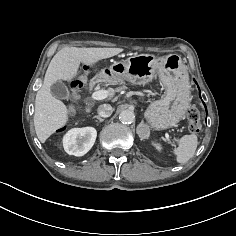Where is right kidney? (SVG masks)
<instances>
[{
    "label": "right kidney",
    "mask_w": 236,
    "mask_h": 236,
    "mask_svg": "<svg viewBox=\"0 0 236 236\" xmlns=\"http://www.w3.org/2000/svg\"><path fill=\"white\" fill-rule=\"evenodd\" d=\"M97 131L93 127L73 128L63 138V146L69 155L83 156L94 145Z\"/></svg>",
    "instance_id": "right-kidney-1"
}]
</instances>
